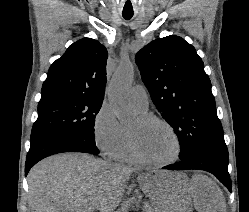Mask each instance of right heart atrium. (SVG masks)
Segmentation results:
<instances>
[{
  "label": "right heart atrium",
  "mask_w": 249,
  "mask_h": 212,
  "mask_svg": "<svg viewBox=\"0 0 249 212\" xmlns=\"http://www.w3.org/2000/svg\"><path fill=\"white\" fill-rule=\"evenodd\" d=\"M92 132L95 144L104 156L113 160L121 158L127 136L108 103H102L95 113Z\"/></svg>",
  "instance_id": "d8ad5b80"
}]
</instances>
